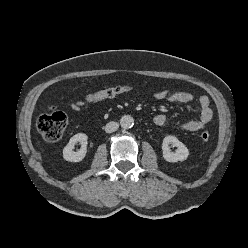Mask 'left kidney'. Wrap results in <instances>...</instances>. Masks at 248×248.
<instances>
[{
    "label": "left kidney",
    "mask_w": 248,
    "mask_h": 248,
    "mask_svg": "<svg viewBox=\"0 0 248 248\" xmlns=\"http://www.w3.org/2000/svg\"><path fill=\"white\" fill-rule=\"evenodd\" d=\"M169 145L177 147L176 152H171ZM162 154H163V158L167 162L174 163V162L186 160L189 155V151L187 147L178 140L177 137L166 136L163 139V143H162Z\"/></svg>",
    "instance_id": "5707ae66"
}]
</instances>
